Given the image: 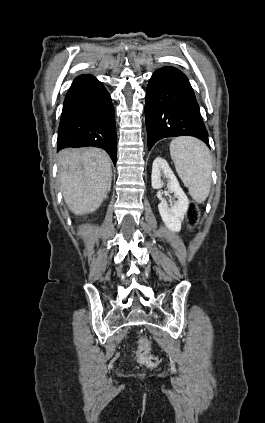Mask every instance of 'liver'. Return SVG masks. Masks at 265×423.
<instances>
[{
  "label": "liver",
  "instance_id": "1",
  "mask_svg": "<svg viewBox=\"0 0 265 423\" xmlns=\"http://www.w3.org/2000/svg\"><path fill=\"white\" fill-rule=\"evenodd\" d=\"M61 190L71 212H94L111 188V159L102 149L67 148L58 154Z\"/></svg>",
  "mask_w": 265,
  "mask_h": 423
}]
</instances>
